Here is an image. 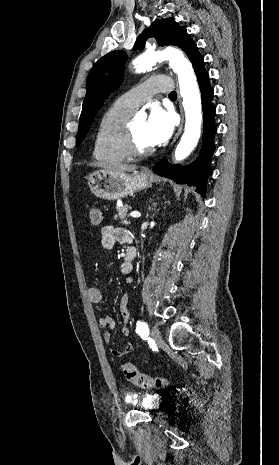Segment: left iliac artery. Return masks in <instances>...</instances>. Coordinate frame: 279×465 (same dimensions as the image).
Returning a JSON list of instances; mask_svg holds the SVG:
<instances>
[{"instance_id":"1","label":"left iliac artery","mask_w":279,"mask_h":465,"mask_svg":"<svg viewBox=\"0 0 279 465\" xmlns=\"http://www.w3.org/2000/svg\"><path fill=\"white\" fill-rule=\"evenodd\" d=\"M136 332L141 336L142 339L146 340L149 335V328L147 323L143 321H137Z\"/></svg>"}]
</instances>
